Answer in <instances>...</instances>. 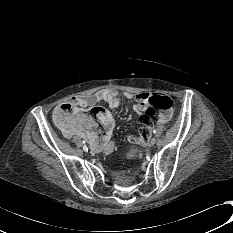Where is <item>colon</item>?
Wrapping results in <instances>:
<instances>
[{"label": "colon", "instance_id": "obj_1", "mask_svg": "<svg viewBox=\"0 0 233 233\" xmlns=\"http://www.w3.org/2000/svg\"><path fill=\"white\" fill-rule=\"evenodd\" d=\"M172 104V100L165 95H153L150 98L149 105L144 111L138 137L133 140L134 144L141 145L149 139L152 119L161 114L169 115ZM75 113V108L71 104L64 103L58 107L55 120L60 126L69 127L71 125L70 118ZM91 113L93 117L99 120L107 119L110 116L109 111L103 107H94ZM93 117L87 114H81L79 115L77 124L86 127L91 124V121H94Z\"/></svg>", "mask_w": 233, "mask_h": 233}]
</instances>
